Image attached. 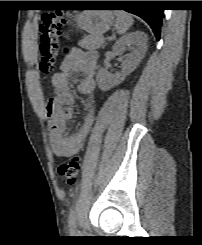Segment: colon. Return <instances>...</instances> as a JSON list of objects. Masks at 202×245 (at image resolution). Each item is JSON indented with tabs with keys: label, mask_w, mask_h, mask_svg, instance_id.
Returning <instances> with one entry per match:
<instances>
[{
	"label": "colon",
	"mask_w": 202,
	"mask_h": 245,
	"mask_svg": "<svg viewBox=\"0 0 202 245\" xmlns=\"http://www.w3.org/2000/svg\"><path fill=\"white\" fill-rule=\"evenodd\" d=\"M64 17L60 15L45 14L39 24L40 48L39 68L43 74L53 71L64 35ZM80 157L73 155L64 159L59 167L58 173L63 181L73 185L80 173Z\"/></svg>",
	"instance_id": "obj_1"
}]
</instances>
